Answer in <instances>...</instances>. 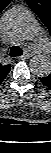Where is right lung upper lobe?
I'll return each instance as SVG.
<instances>
[{
  "mask_svg": "<svg viewBox=\"0 0 51 153\" xmlns=\"http://www.w3.org/2000/svg\"><path fill=\"white\" fill-rule=\"evenodd\" d=\"M12 0H0V12L11 2ZM11 69L10 65H2L0 63V83L5 79Z\"/></svg>",
  "mask_w": 51,
  "mask_h": 153,
  "instance_id": "obj_1",
  "label": "right lung upper lobe"
}]
</instances>
